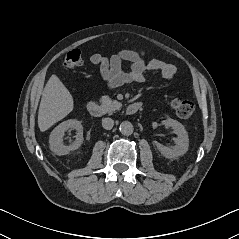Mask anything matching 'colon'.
Masks as SVG:
<instances>
[{
	"label": "colon",
	"instance_id": "1",
	"mask_svg": "<svg viewBox=\"0 0 239 239\" xmlns=\"http://www.w3.org/2000/svg\"><path fill=\"white\" fill-rule=\"evenodd\" d=\"M83 62L84 59L81 50L73 49L67 53L63 65L66 69L73 70L81 66ZM170 106L177 116L182 119H190L195 111V106L191 101L179 98H171Z\"/></svg>",
	"mask_w": 239,
	"mask_h": 239
}]
</instances>
